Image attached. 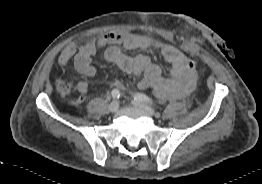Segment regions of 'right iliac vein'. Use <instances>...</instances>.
Returning a JSON list of instances; mask_svg holds the SVG:
<instances>
[{
    "label": "right iliac vein",
    "instance_id": "1",
    "mask_svg": "<svg viewBox=\"0 0 262 184\" xmlns=\"http://www.w3.org/2000/svg\"><path fill=\"white\" fill-rule=\"evenodd\" d=\"M119 108V102L114 100L110 103L108 109L111 113H115Z\"/></svg>",
    "mask_w": 262,
    "mask_h": 184
}]
</instances>
